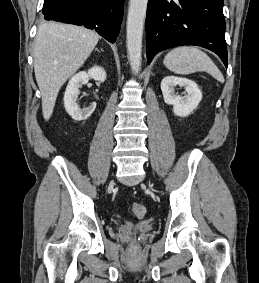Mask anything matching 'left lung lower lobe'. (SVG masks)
Listing matches in <instances>:
<instances>
[{"label": "left lung lower lobe", "mask_w": 259, "mask_h": 283, "mask_svg": "<svg viewBox=\"0 0 259 283\" xmlns=\"http://www.w3.org/2000/svg\"><path fill=\"white\" fill-rule=\"evenodd\" d=\"M223 0H149L146 17L148 64L158 52L196 45L216 53L227 68Z\"/></svg>", "instance_id": "obj_1"}]
</instances>
